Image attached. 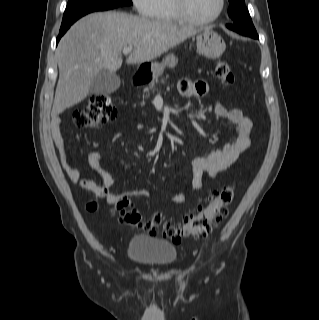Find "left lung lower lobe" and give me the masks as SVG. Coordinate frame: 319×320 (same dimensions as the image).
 <instances>
[{
	"mask_svg": "<svg viewBox=\"0 0 319 320\" xmlns=\"http://www.w3.org/2000/svg\"><path fill=\"white\" fill-rule=\"evenodd\" d=\"M227 27L239 34H242V35H245V36H249V37H252L254 39H258V34L256 32V30H249V29H246V28H243V27H239V26H236V25H227Z\"/></svg>",
	"mask_w": 319,
	"mask_h": 320,
	"instance_id": "left-lung-lower-lobe-1",
	"label": "left lung lower lobe"
}]
</instances>
